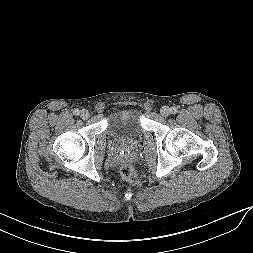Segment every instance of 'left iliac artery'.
I'll list each match as a JSON object with an SVG mask.
<instances>
[{
    "instance_id": "1",
    "label": "left iliac artery",
    "mask_w": 253,
    "mask_h": 253,
    "mask_svg": "<svg viewBox=\"0 0 253 253\" xmlns=\"http://www.w3.org/2000/svg\"><path fill=\"white\" fill-rule=\"evenodd\" d=\"M171 113H172V114H176V113H177V108L172 107V108H171Z\"/></svg>"
}]
</instances>
